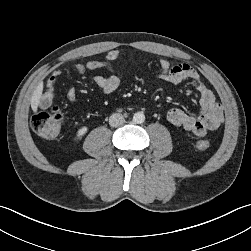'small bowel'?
Wrapping results in <instances>:
<instances>
[{"mask_svg": "<svg viewBox=\"0 0 251 251\" xmlns=\"http://www.w3.org/2000/svg\"><path fill=\"white\" fill-rule=\"evenodd\" d=\"M118 50H111L107 53L105 60H91L84 64H77L76 70L83 74L87 71L107 69L112 72L110 76L95 75L94 83L105 94H109L118 89L121 84L120 78L114 74L113 62L118 59ZM160 72L158 77L166 82L178 84L183 81H190L200 95L201 113L195 117L178 108H171L167 111V120L175 125L191 131L198 137H203L208 131L217 129L223 121L221 106L216 102L215 96L210 89L201 81L197 71L188 64L171 65L167 59L159 61ZM60 70H54L45 81L46 90L39 98L40 108L50 106L54 99V91L58 78L61 76ZM67 97L71 102L77 98L75 88L69 89Z\"/></svg>", "mask_w": 251, "mask_h": 251, "instance_id": "small-bowel-1", "label": "small bowel"}]
</instances>
